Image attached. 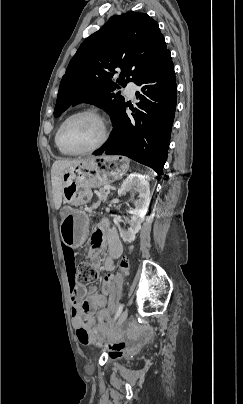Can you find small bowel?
I'll list each match as a JSON object with an SVG mask.
<instances>
[{
  "mask_svg": "<svg viewBox=\"0 0 243 404\" xmlns=\"http://www.w3.org/2000/svg\"><path fill=\"white\" fill-rule=\"evenodd\" d=\"M123 246L116 230L108 221L101 222L93 233L87 248V255L95 268L102 265L106 270H112L115 260L122 254ZM105 253L102 260L101 254ZM63 257L71 293V314L76 336L80 343L87 345L95 343L101 334L106 332L111 315L105 308L107 297L98 295L94 290L87 294L85 287L76 281L74 251L69 246L63 247ZM95 317L94 312L98 310Z\"/></svg>",
  "mask_w": 243,
  "mask_h": 404,
  "instance_id": "obj_1",
  "label": "small bowel"
}]
</instances>
